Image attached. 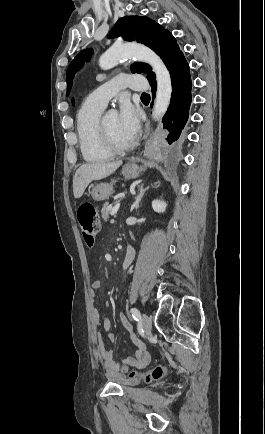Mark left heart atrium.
<instances>
[{
  "label": "left heart atrium",
  "instance_id": "left-heart-atrium-1",
  "mask_svg": "<svg viewBox=\"0 0 265 434\" xmlns=\"http://www.w3.org/2000/svg\"><path fill=\"white\" fill-rule=\"evenodd\" d=\"M140 113L137 108L130 104L127 98H121L118 124L124 139L132 143L138 136Z\"/></svg>",
  "mask_w": 265,
  "mask_h": 434
}]
</instances>
